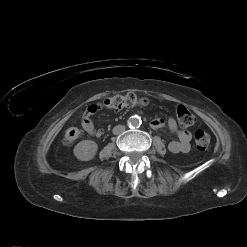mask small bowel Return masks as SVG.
Here are the masks:
<instances>
[{
    "mask_svg": "<svg viewBox=\"0 0 247 247\" xmlns=\"http://www.w3.org/2000/svg\"><path fill=\"white\" fill-rule=\"evenodd\" d=\"M96 105L88 107L81 122L82 128L91 136L100 137L103 134V129H97L91 120V116L96 113ZM151 127L155 130H159L163 127H167L170 132L176 134L177 140L171 141L168 144V149L172 153H187L190 150L191 133L185 129H178L177 122L173 118L164 120L162 118H156L151 121Z\"/></svg>",
    "mask_w": 247,
    "mask_h": 247,
    "instance_id": "obj_1",
    "label": "small bowel"
}]
</instances>
